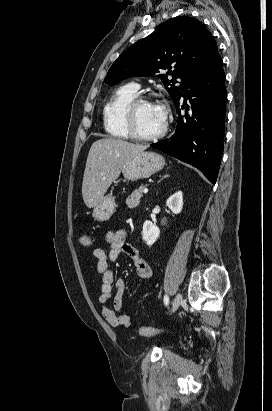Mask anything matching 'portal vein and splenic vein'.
<instances>
[{
    "instance_id": "obj_1",
    "label": "portal vein and splenic vein",
    "mask_w": 272,
    "mask_h": 411,
    "mask_svg": "<svg viewBox=\"0 0 272 411\" xmlns=\"http://www.w3.org/2000/svg\"><path fill=\"white\" fill-rule=\"evenodd\" d=\"M143 192L146 194L148 192V189L144 188Z\"/></svg>"
}]
</instances>
